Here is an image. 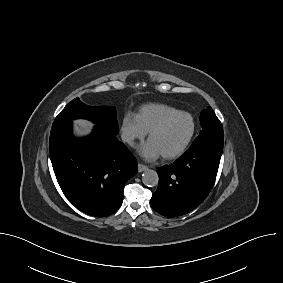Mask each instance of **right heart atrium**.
<instances>
[{
  "label": "right heart atrium",
  "mask_w": 283,
  "mask_h": 283,
  "mask_svg": "<svg viewBox=\"0 0 283 283\" xmlns=\"http://www.w3.org/2000/svg\"><path fill=\"white\" fill-rule=\"evenodd\" d=\"M120 133L122 140L128 146H134L137 141L143 139L147 132L140 124L135 113L127 112L123 115L120 124Z\"/></svg>",
  "instance_id": "1"
}]
</instances>
